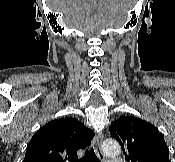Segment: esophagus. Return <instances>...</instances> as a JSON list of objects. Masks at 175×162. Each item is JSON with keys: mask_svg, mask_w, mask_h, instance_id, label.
Here are the masks:
<instances>
[{"mask_svg": "<svg viewBox=\"0 0 175 162\" xmlns=\"http://www.w3.org/2000/svg\"><path fill=\"white\" fill-rule=\"evenodd\" d=\"M102 134H98L93 139V146L95 148V152L101 162H104L105 156L102 152L101 145H102Z\"/></svg>", "mask_w": 175, "mask_h": 162, "instance_id": "obj_1", "label": "esophagus"}]
</instances>
